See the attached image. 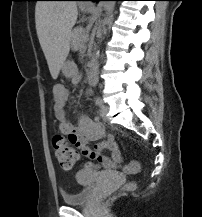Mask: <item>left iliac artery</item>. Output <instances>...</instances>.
I'll return each instance as SVG.
<instances>
[{"instance_id":"obj_1","label":"left iliac artery","mask_w":202,"mask_h":217,"mask_svg":"<svg viewBox=\"0 0 202 217\" xmlns=\"http://www.w3.org/2000/svg\"><path fill=\"white\" fill-rule=\"evenodd\" d=\"M95 103L98 106H102L103 105L102 99L100 97H98V96L95 98Z\"/></svg>"}]
</instances>
